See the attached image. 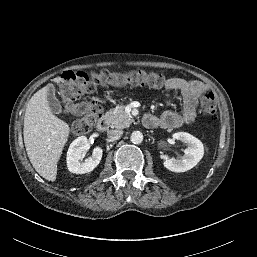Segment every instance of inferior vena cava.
Here are the masks:
<instances>
[{"label":"inferior vena cava","mask_w":257,"mask_h":257,"mask_svg":"<svg viewBox=\"0 0 257 257\" xmlns=\"http://www.w3.org/2000/svg\"><path fill=\"white\" fill-rule=\"evenodd\" d=\"M123 131L120 129H113L107 132V136L112 139H118L122 136Z\"/></svg>","instance_id":"inferior-vena-cava-1"}]
</instances>
